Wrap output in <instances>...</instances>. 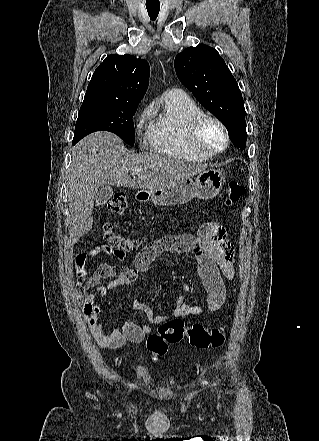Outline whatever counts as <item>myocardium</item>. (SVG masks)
Segmentation results:
<instances>
[{
	"instance_id": "myocardium-1",
	"label": "myocardium",
	"mask_w": 319,
	"mask_h": 441,
	"mask_svg": "<svg viewBox=\"0 0 319 441\" xmlns=\"http://www.w3.org/2000/svg\"><path fill=\"white\" fill-rule=\"evenodd\" d=\"M208 124L216 125L223 134V138H224L223 145L219 149H211V148L207 147L206 145H204V143L202 142V137H201L202 132ZM188 140H189L190 146L195 151L202 153V154H205L210 157L221 154L222 152H224L227 149V147L229 146V142H230L229 133H228V130H227L226 126L224 125V123L221 120H219L218 118H216L212 115L205 114V113L197 116L191 122L190 127H189V131H188Z\"/></svg>"
}]
</instances>
